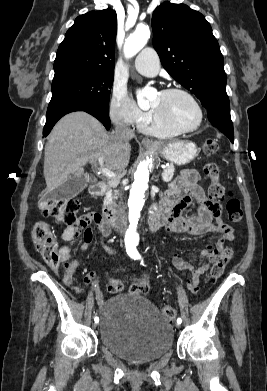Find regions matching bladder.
<instances>
[{"instance_id":"31cf9c89","label":"bladder","mask_w":267,"mask_h":391,"mask_svg":"<svg viewBox=\"0 0 267 391\" xmlns=\"http://www.w3.org/2000/svg\"><path fill=\"white\" fill-rule=\"evenodd\" d=\"M100 341L104 348L126 361H155L173 347L172 325L144 296L119 293L99 310Z\"/></svg>"}]
</instances>
